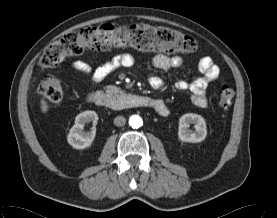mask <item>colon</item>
I'll return each mask as SVG.
<instances>
[{
  "instance_id": "1",
  "label": "colon",
  "mask_w": 277,
  "mask_h": 218,
  "mask_svg": "<svg viewBox=\"0 0 277 218\" xmlns=\"http://www.w3.org/2000/svg\"><path fill=\"white\" fill-rule=\"evenodd\" d=\"M131 49L138 52L192 53L195 40L168 27L147 25H113L87 27L70 32L45 48L40 64L52 67L65 58L80 55L86 50L106 51ZM39 93L50 103H57L63 97L60 81L54 77L45 78L39 85ZM235 96L234 88L223 84L219 88V104L228 107Z\"/></svg>"
}]
</instances>
